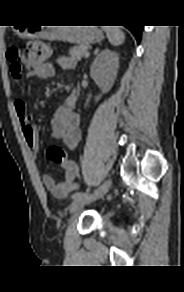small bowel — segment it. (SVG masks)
<instances>
[{
  "mask_svg": "<svg viewBox=\"0 0 184 292\" xmlns=\"http://www.w3.org/2000/svg\"><path fill=\"white\" fill-rule=\"evenodd\" d=\"M59 66L63 68H72L74 61L68 57H60L57 60ZM55 74V67L51 63H43L32 70V75L39 79H48ZM76 103V95L72 93L66 100L65 105L59 107L52 117V131L55 141L63 143L68 149L77 148L81 131L79 128V116L73 111ZM14 109L19 118L21 130L26 145L30 153L35 156L38 153L39 137L32 117L28 113L26 104L22 99L14 101ZM65 170L64 180L56 183L50 175H44L42 182L55 197L62 198L74 191L78 187V165L69 160L63 164Z\"/></svg>",
  "mask_w": 184,
  "mask_h": 292,
  "instance_id": "c3829d8e",
  "label": "small bowel"
}]
</instances>
